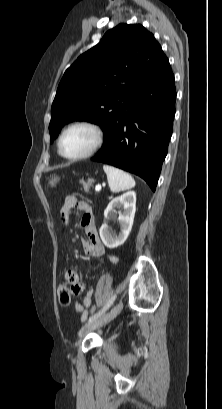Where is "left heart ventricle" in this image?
I'll return each mask as SVG.
<instances>
[{"label":"left heart ventricle","instance_id":"left-heart-ventricle-1","mask_svg":"<svg viewBox=\"0 0 222 409\" xmlns=\"http://www.w3.org/2000/svg\"><path fill=\"white\" fill-rule=\"evenodd\" d=\"M95 142V133L86 127L69 130L62 141V151L68 156H77L87 152Z\"/></svg>","mask_w":222,"mask_h":409}]
</instances>
